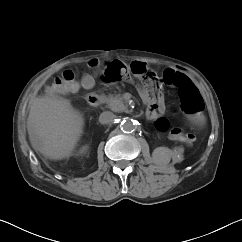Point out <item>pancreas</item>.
Here are the masks:
<instances>
[{
	"mask_svg": "<svg viewBox=\"0 0 242 242\" xmlns=\"http://www.w3.org/2000/svg\"><path fill=\"white\" fill-rule=\"evenodd\" d=\"M104 101L107 103L108 108L114 112H122L125 109V101L120 94L104 96Z\"/></svg>",
	"mask_w": 242,
	"mask_h": 242,
	"instance_id": "obj_1",
	"label": "pancreas"
}]
</instances>
